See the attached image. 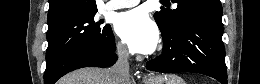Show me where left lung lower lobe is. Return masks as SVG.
<instances>
[{
    "instance_id": "1",
    "label": "left lung lower lobe",
    "mask_w": 260,
    "mask_h": 84,
    "mask_svg": "<svg viewBox=\"0 0 260 84\" xmlns=\"http://www.w3.org/2000/svg\"><path fill=\"white\" fill-rule=\"evenodd\" d=\"M161 33L162 54L147 62L148 70L201 73L227 84L221 15L192 14L173 32Z\"/></svg>"
}]
</instances>
